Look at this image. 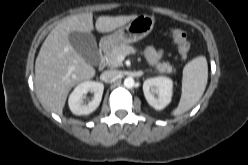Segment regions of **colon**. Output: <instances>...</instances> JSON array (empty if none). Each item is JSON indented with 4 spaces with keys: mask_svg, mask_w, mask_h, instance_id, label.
<instances>
[{
    "mask_svg": "<svg viewBox=\"0 0 248 165\" xmlns=\"http://www.w3.org/2000/svg\"><path fill=\"white\" fill-rule=\"evenodd\" d=\"M171 36L173 41L178 46L179 54L183 58H186L191 50V46L188 41L187 34L183 30L174 29L171 31Z\"/></svg>",
    "mask_w": 248,
    "mask_h": 165,
    "instance_id": "5ec220e1",
    "label": "colon"
}]
</instances>
